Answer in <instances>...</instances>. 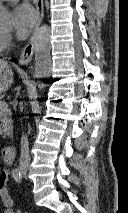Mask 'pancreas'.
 <instances>
[{"instance_id": "1", "label": "pancreas", "mask_w": 128, "mask_h": 213, "mask_svg": "<svg viewBox=\"0 0 128 213\" xmlns=\"http://www.w3.org/2000/svg\"><path fill=\"white\" fill-rule=\"evenodd\" d=\"M11 110L5 109L0 110V135L5 137H12V119H11Z\"/></svg>"}]
</instances>
